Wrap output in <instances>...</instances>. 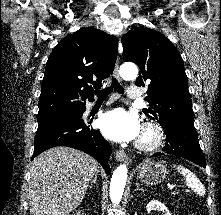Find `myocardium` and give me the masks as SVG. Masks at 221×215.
I'll list each match as a JSON object with an SVG mask.
<instances>
[{
	"instance_id": "obj_1",
	"label": "myocardium",
	"mask_w": 221,
	"mask_h": 215,
	"mask_svg": "<svg viewBox=\"0 0 221 215\" xmlns=\"http://www.w3.org/2000/svg\"><path fill=\"white\" fill-rule=\"evenodd\" d=\"M163 140L164 133L162 128L154 122H147L142 127L136 147L144 152L154 151L162 145Z\"/></svg>"
}]
</instances>
